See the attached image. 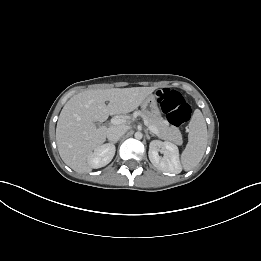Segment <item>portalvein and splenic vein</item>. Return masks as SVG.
<instances>
[{"instance_id":"1","label":"portal vein and splenic vein","mask_w":261,"mask_h":261,"mask_svg":"<svg viewBox=\"0 0 261 261\" xmlns=\"http://www.w3.org/2000/svg\"><path fill=\"white\" fill-rule=\"evenodd\" d=\"M123 122H124V119H122V118H112V119H111V123H112L113 125L122 124ZM148 128H149V130H150L151 132H153V133H155V134H158V129H157L156 127L148 125Z\"/></svg>"}]
</instances>
